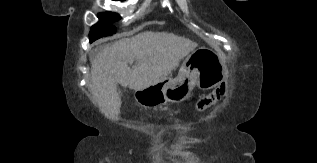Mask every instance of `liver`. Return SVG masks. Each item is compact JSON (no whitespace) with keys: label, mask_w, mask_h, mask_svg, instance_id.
Instances as JSON below:
<instances>
[{"label":"liver","mask_w":317,"mask_h":163,"mask_svg":"<svg viewBox=\"0 0 317 163\" xmlns=\"http://www.w3.org/2000/svg\"><path fill=\"white\" fill-rule=\"evenodd\" d=\"M196 47L197 43L188 38L154 31L102 47L91 59L90 84L100 111L105 117L117 120L121 107L117 84L140 91L162 82Z\"/></svg>","instance_id":"6515ba94"}]
</instances>
